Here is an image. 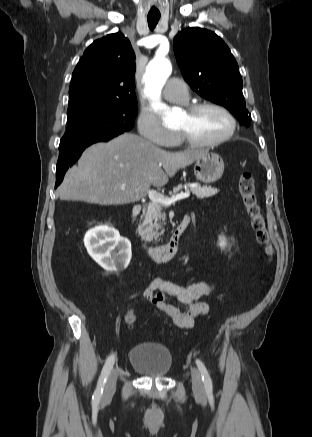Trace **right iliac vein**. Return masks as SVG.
Here are the masks:
<instances>
[{"label": "right iliac vein", "instance_id": "63e3f726", "mask_svg": "<svg viewBox=\"0 0 312 437\" xmlns=\"http://www.w3.org/2000/svg\"><path fill=\"white\" fill-rule=\"evenodd\" d=\"M117 376H118V369L117 368L112 369L104 387V392L102 395L103 402L108 401L113 396L116 388Z\"/></svg>", "mask_w": 312, "mask_h": 437}]
</instances>
